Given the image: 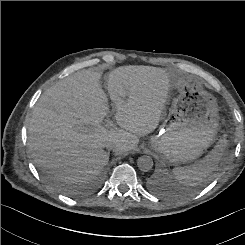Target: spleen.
<instances>
[{
	"mask_svg": "<svg viewBox=\"0 0 245 245\" xmlns=\"http://www.w3.org/2000/svg\"><path fill=\"white\" fill-rule=\"evenodd\" d=\"M227 146L226 138L220 139L209 154L190 166L173 169L174 178L185 186H195L203 182L218 167Z\"/></svg>",
	"mask_w": 245,
	"mask_h": 245,
	"instance_id": "1",
	"label": "spleen"
}]
</instances>
